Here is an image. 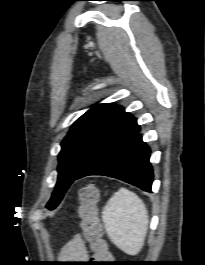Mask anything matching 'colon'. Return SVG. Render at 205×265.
<instances>
[{
	"label": "colon",
	"mask_w": 205,
	"mask_h": 265,
	"mask_svg": "<svg viewBox=\"0 0 205 265\" xmlns=\"http://www.w3.org/2000/svg\"><path fill=\"white\" fill-rule=\"evenodd\" d=\"M99 189L91 182L79 190L78 215L83 234L93 253L91 265H105L111 259L98 212Z\"/></svg>",
	"instance_id": "obj_1"
}]
</instances>
